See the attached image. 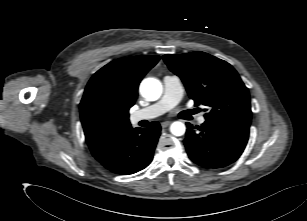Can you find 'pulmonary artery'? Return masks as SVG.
Wrapping results in <instances>:
<instances>
[{"mask_svg": "<svg viewBox=\"0 0 307 221\" xmlns=\"http://www.w3.org/2000/svg\"><path fill=\"white\" fill-rule=\"evenodd\" d=\"M163 85L164 92L159 101L131 114L130 120L133 124L156 118L180 102L184 93L181 79L176 75H167L163 78ZM205 121L204 116L198 117L199 124H203Z\"/></svg>", "mask_w": 307, "mask_h": 221, "instance_id": "1", "label": "pulmonary artery"}]
</instances>
